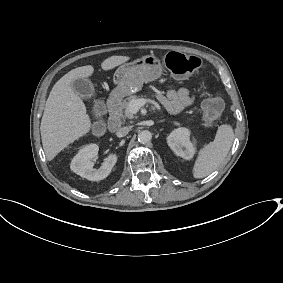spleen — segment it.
<instances>
[{
  "instance_id": "obj_1",
  "label": "spleen",
  "mask_w": 283,
  "mask_h": 283,
  "mask_svg": "<svg viewBox=\"0 0 283 283\" xmlns=\"http://www.w3.org/2000/svg\"><path fill=\"white\" fill-rule=\"evenodd\" d=\"M234 140L230 125H221L214 141L205 145L199 152L193 168L195 178H204L215 171L226 158Z\"/></svg>"
}]
</instances>
